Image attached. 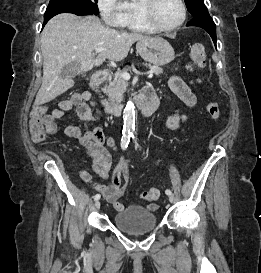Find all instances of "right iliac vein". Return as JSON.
Segmentation results:
<instances>
[{"mask_svg": "<svg viewBox=\"0 0 261 273\" xmlns=\"http://www.w3.org/2000/svg\"><path fill=\"white\" fill-rule=\"evenodd\" d=\"M100 205H101L100 201L97 200L95 202V208L98 210L100 208Z\"/></svg>", "mask_w": 261, "mask_h": 273, "instance_id": "63e3f726", "label": "right iliac vein"}]
</instances>
